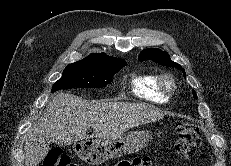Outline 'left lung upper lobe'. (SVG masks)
Wrapping results in <instances>:
<instances>
[{
  "instance_id": "5c2ea615",
  "label": "left lung upper lobe",
  "mask_w": 231,
  "mask_h": 166,
  "mask_svg": "<svg viewBox=\"0 0 231 166\" xmlns=\"http://www.w3.org/2000/svg\"><path fill=\"white\" fill-rule=\"evenodd\" d=\"M145 59L152 60L164 66L176 67L178 69H181L183 72V76L186 77L185 70L181 68V65L173 62L170 59L169 55L166 52L161 51L160 49L148 48L141 51L139 55V60L143 61ZM193 96L195 99H197V95L195 91H193Z\"/></svg>"
}]
</instances>
